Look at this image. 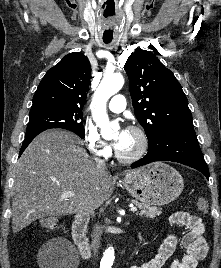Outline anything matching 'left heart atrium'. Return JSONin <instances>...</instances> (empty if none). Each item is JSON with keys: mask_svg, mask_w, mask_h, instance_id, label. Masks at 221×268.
<instances>
[{"mask_svg": "<svg viewBox=\"0 0 221 268\" xmlns=\"http://www.w3.org/2000/svg\"><path fill=\"white\" fill-rule=\"evenodd\" d=\"M128 132H129L128 130L123 129L118 133V135L114 141V147L116 150H120L122 148V146L124 145V143L127 139Z\"/></svg>", "mask_w": 221, "mask_h": 268, "instance_id": "left-heart-atrium-1", "label": "left heart atrium"}]
</instances>
